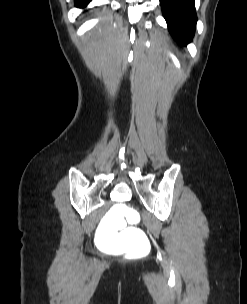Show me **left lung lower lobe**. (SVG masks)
<instances>
[{"label":"left lung lower lobe","mask_w":247,"mask_h":304,"mask_svg":"<svg viewBox=\"0 0 247 304\" xmlns=\"http://www.w3.org/2000/svg\"><path fill=\"white\" fill-rule=\"evenodd\" d=\"M160 4L174 39L181 44L190 42L197 22L194 0H160Z\"/></svg>","instance_id":"left-lung-lower-lobe-1"}]
</instances>
